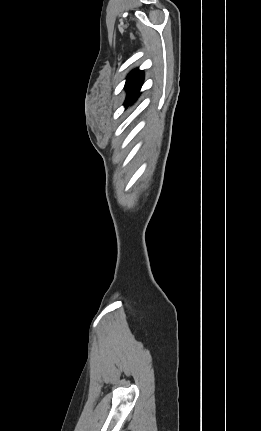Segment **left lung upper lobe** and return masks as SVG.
<instances>
[{
	"label": "left lung upper lobe",
	"instance_id": "1",
	"mask_svg": "<svg viewBox=\"0 0 261 431\" xmlns=\"http://www.w3.org/2000/svg\"><path fill=\"white\" fill-rule=\"evenodd\" d=\"M143 77H144L143 72L139 71L138 69L131 71L130 74L127 76V80L125 84L127 97L124 103V106L126 108L132 103V101L139 93L141 85L143 83Z\"/></svg>",
	"mask_w": 261,
	"mask_h": 431
}]
</instances>
